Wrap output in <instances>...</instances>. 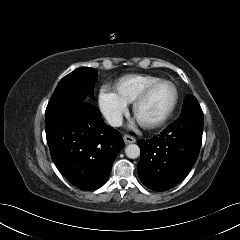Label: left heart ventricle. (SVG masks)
Segmentation results:
<instances>
[{
  "instance_id": "left-heart-ventricle-1",
  "label": "left heart ventricle",
  "mask_w": 240,
  "mask_h": 240,
  "mask_svg": "<svg viewBox=\"0 0 240 240\" xmlns=\"http://www.w3.org/2000/svg\"><path fill=\"white\" fill-rule=\"evenodd\" d=\"M173 99L174 89L171 86H161L139 107L138 115L142 120L153 121L169 109Z\"/></svg>"
}]
</instances>
